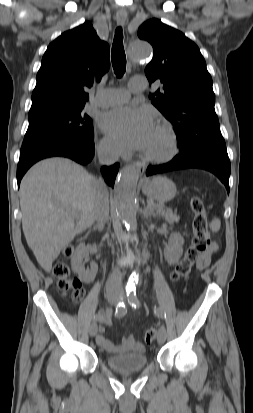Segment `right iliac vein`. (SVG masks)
<instances>
[{
    "label": "right iliac vein",
    "instance_id": "obj_1",
    "mask_svg": "<svg viewBox=\"0 0 253 413\" xmlns=\"http://www.w3.org/2000/svg\"><path fill=\"white\" fill-rule=\"evenodd\" d=\"M107 299L110 304H116L118 302V296L114 293H110L107 295ZM97 324L94 322L91 324L89 328V334L90 336L94 337L97 334Z\"/></svg>",
    "mask_w": 253,
    "mask_h": 413
}]
</instances>
